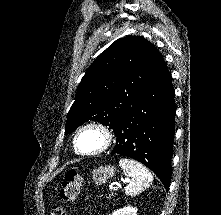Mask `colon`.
I'll list each match as a JSON object with an SVG mask.
<instances>
[{
	"label": "colon",
	"instance_id": "5ec220e1",
	"mask_svg": "<svg viewBox=\"0 0 221 215\" xmlns=\"http://www.w3.org/2000/svg\"><path fill=\"white\" fill-rule=\"evenodd\" d=\"M83 180L81 175L76 170L66 172L61 189H60V204H54L50 209V215H66L65 204L73 202L82 187Z\"/></svg>",
	"mask_w": 221,
	"mask_h": 215
}]
</instances>
